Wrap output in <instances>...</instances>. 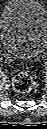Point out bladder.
Wrapping results in <instances>:
<instances>
[{
  "mask_svg": "<svg viewBox=\"0 0 47 129\" xmlns=\"http://www.w3.org/2000/svg\"><path fill=\"white\" fill-rule=\"evenodd\" d=\"M47 11L37 0H9L0 16L4 49L20 58H33L46 48Z\"/></svg>",
  "mask_w": 47,
  "mask_h": 129,
  "instance_id": "obj_1",
  "label": "bladder"
}]
</instances>
